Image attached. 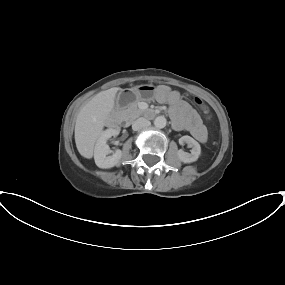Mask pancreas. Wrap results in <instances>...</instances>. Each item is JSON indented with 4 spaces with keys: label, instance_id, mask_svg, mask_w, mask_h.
I'll return each instance as SVG.
<instances>
[{
    "label": "pancreas",
    "instance_id": "obj_1",
    "mask_svg": "<svg viewBox=\"0 0 285 285\" xmlns=\"http://www.w3.org/2000/svg\"><path fill=\"white\" fill-rule=\"evenodd\" d=\"M144 113L143 110L138 108V103L134 102L130 104L124 111L123 114L126 120L133 121Z\"/></svg>",
    "mask_w": 285,
    "mask_h": 285
}]
</instances>
